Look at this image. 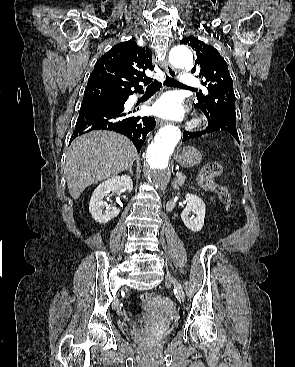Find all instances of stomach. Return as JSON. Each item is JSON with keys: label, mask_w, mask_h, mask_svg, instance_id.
I'll use <instances>...</instances> for the list:
<instances>
[{"label": "stomach", "mask_w": 295, "mask_h": 367, "mask_svg": "<svg viewBox=\"0 0 295 367\" xmlns=\"http://www.w3.org/2000/svg\"><path fill=\"white\" fill-rule=\"evenodd\" d=\"M176 162L185 168L193 167L201 162V152L193 146H186L176 152Z\"/></svg>", "instance_id": "0dacf381"}]
</instances>
